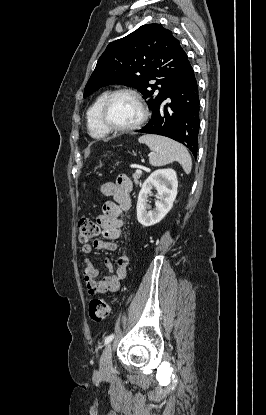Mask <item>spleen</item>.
<instances>
[{
    "mask_svg": "<svg viewBox=\"0 0 266 415\" xmlns=\"http://www.w3.org/2000/svg\"><path fill=\"white\" fill-rule=\"evenodd\" d=\"M138 141L146 144L152 154L149 157V162L152 166L160 167L177 161L182 166L186 174H190L192 169V159L188 150L181 145L167 137L158 135H143Z\"/></svg>",
    "mask_w": 266,
    "mask_h": 415,
    "instance_id": "1",
    "label": "spleen"
}]
</instances>
